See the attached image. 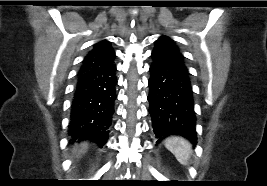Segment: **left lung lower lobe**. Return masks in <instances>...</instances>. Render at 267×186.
<instances>
[{
	"label": "left lung lower lobe",
	"instance_id": "0a47b994",
	"mask_svg": "<svg viewBox=\"0 0 267 186\" xmlns=\"http://www.w3.org/2000/svg\"><path fill=\"white\" fill-rule=\"evenodd\" d=\"M148 101L157 143L180 135L197 143L194 99L188 70L151 54Z\"/></svg>",
	"mask_w": 267,
	"mask_h": 186
}]
</instances>
